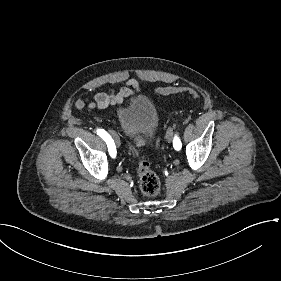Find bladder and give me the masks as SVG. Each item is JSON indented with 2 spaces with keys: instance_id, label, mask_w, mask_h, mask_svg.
Masks as SVG:
<instances>
[{
  "instance_id": "obj_1",
  "label": "bladder",
  "mask_w": 281,
  "mask_h": 281,
  "mask_svg": "<svg viewBox=\"0 0 281 281\" xmlns=\"http://www.w3.org/2000/svg\"><path fill=\"white\" fill-rule=\"evenodd\" d=\"M129 105L117 109L116 122L120 129L140 148H147L160 128L159 111L148 94H140L129 100Z\"/></svg>"
}]
</instances>
